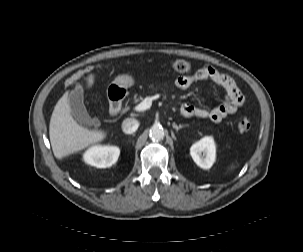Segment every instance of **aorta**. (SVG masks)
Segmentation results:
<instances>
[{
  "instance_id": "1",
  "label": "aorta",
  "mask_w": 303,
  "mask_h": 252,
  "mask_svg": "<svg viewBox=\"0 0 303 252\" xmlns=\"http://www.w3.org/2000/svg\"><path fill=\"white\" fill-rule=\"evenodd\" d=\"M149 136L153 140H161L164 137V131L160 126H152L149 131Z\"/></svg>"
}]
</instances>
